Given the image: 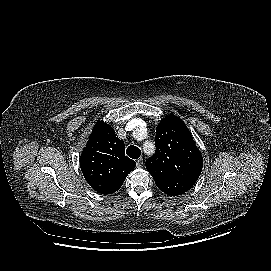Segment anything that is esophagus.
Here are the masks:
<instances>
[{"mask_svg": "<svg viewBox=\"0 0 271 271\" xmlns=\"http://www.w3.org/2000/svg\"><path fill=\"white\" fill-rule=\"evenodd\" d=\"M142 165H143V159L142 158L137 159L136 160V166L138 168H140V167H142Z\"/></svg>", "mask_w": 271, "mask_h": 271, "instance_id": "esophagus-1", "label": "esophagus"}]
</instances>
